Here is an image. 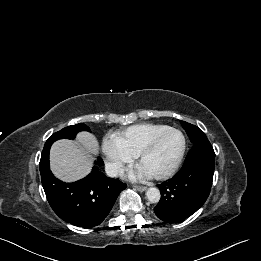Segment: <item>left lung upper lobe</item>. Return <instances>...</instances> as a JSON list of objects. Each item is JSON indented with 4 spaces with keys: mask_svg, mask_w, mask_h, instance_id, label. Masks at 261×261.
<instances>
[{
    "mask_svg": "<svg viewBox=\"0 0 261 261\" xmlns=\"http://www.w3.org/2000/svg\"><path fill=\"white\" fill-rule=\"evenodd\" d=\"M181 125L187 132L193 144L206 137L205 134L195 125L189 124L185 121H181Z\"/></svg>",
    "mask_w": 261,
    "mask_h": 261,
    "instance_id": "5c2ea615",
    "label": "left lung upper lobe"
}]
</instances>
